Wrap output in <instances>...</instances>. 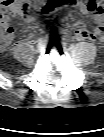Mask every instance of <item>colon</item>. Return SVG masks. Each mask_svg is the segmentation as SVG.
Returning a JSON list of instances; mask_svg holds the SVG:
<instances>
[{"label": "colon", "instance_id": "colon-1", "mask_svg": "<svg viewBox=\"0 0 104 137\" xmlns=\"http://www.w3.org/2000/svg\"><path fill=\"white\" fill-rule=\"evenodd\" d=\"M35 1L37 0H5L3 12L5 13L6 11H11V12L27 11L30 8L31 4L34 3ZM63 2L64 0H48L47 2L40 4V8L43 13H50L54 9L59 7ZM12 32H13L12 26H3L1 23L0 40H2L6 34H10Z\"/></svg>", "mask_w": 104, "mask_h": 137}]
</instances>
